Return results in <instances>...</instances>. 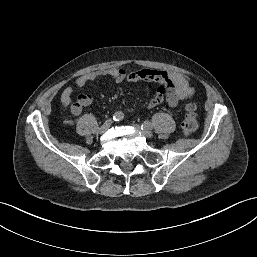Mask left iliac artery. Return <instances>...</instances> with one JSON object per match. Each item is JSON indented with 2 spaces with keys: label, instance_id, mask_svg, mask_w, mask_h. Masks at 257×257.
Wrapping results in <instances>:
<instances>
[{
  "label": "left iliac artery",
  "instance_id": "left-iliac-artery-1",
  "mask_svg": "<svg viewBox=\"0 0 257 257\" xmlns=\"http://www.w3.org/2000/svg\"><path fill=\"white\" fill-rule=\"evenodd\" d=\"M142 129H152V124L149 121H144L141 126Z\"/></svg>",
  "mask_w": 257,
  "mask_h": 257
}]
</instances>
